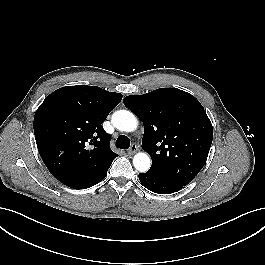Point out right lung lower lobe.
Returning a JSON list of instances; mask_svg holds the SVG:
<instances>
[{
    "instance_id": "98d812e1",
    "label": "right lung lower lobe",
    "mask_w": 265,
    "mask_h": 265,
    "mask_svg": "<svg viewBox=\"0 0 265 265\" xmlns=\"http://www.w3.org/2000/svg\"><path fill=\"white\" fill-rule=\"evenodd\" d=\"M108 169L105 170L104 172L100 173V174L95 175V176L88 177V178L74 181V182H70V183H67L65 185H67L68 187H71L73 189H86V188L92 187L95 184L101 182L106 177Z\"/></svg>"
}]
</instances>
